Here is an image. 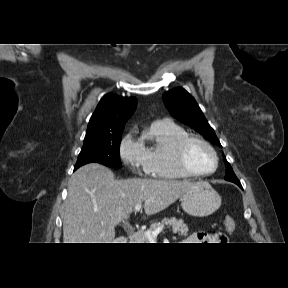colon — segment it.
<instances>
[{"instance_id": "1", "label": "colon", "mask_w": 288, "mask_h": 288, "mask_svg": "<svg viewBox=\"0 0 288 288\" xmlns=\"http://www.w3.org/2000/svg\"><path fill=\"white\" fill-rule=\"evenodd\" d=\"M223 228L227 232H233L235 230V221L232 217L226 216L223 220Z\"/></svg>"}]
</instances>
